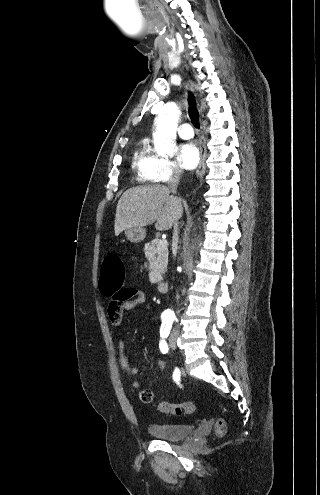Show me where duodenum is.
<instances>
[{
  "mask_svg": "<svg viewBox=\"0 0 320 495\" xmlns=\"http://www.w3.org/2000/svg\"><path fill=\"white\" fill-rule=\"evenodd\" d=\"M168 288H169V284H168V282H166V281H160V282L158 283V289H159V291H160L161 293H165V292H167V291H168Z\"/></svg>",
  "mask_w": 320,
  "mask_h": 495,
  "instance_id": "1",
  "label": "duodenum"
}]
</instances>
